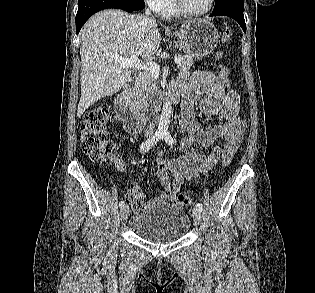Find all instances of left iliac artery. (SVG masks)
<instances>
[{"instance_id": "obj_1", "label": "left iliac artery", "mask_w": 315, "mask_h": 293, "mask_svg": "<svg viewBox=\"0 0 315 293\" xmlns=\"http://www.w3.org/2000/svg\"><path fill=\"white\" fill-rule=\"evenodd\" d=\"M162 139L168 144V145H174V140H173V138H172V136H171V134L169 133V132H167V131H165V132H163L162 133ZM196 207L198 208V209H200V210H202L203 209V205L201 204V203H197L196 204Z\"/></svg>"}]
</instances>
